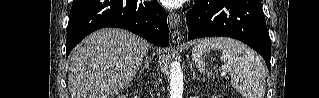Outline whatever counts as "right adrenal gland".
Wrapping results in <instances>:
<instances>
[{
  "label": "right adrenal gland",
  "mask_w": 319,
  "mask_h": 98,
  "mask_svg": "<svg viewBox=\"0 0 319 98\" xmlns=\"http://www.w3.org/2000/svg\"><path fill=\"white\" fill-rule=\"evenodd\" d=\"M144 70H149V56H148V54L145 55L144 67L141 69V71H144Z\"/></svg>",
  "instance_id": "obj_1"
}]
</instances>
